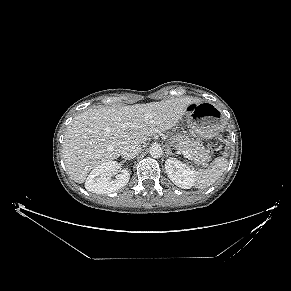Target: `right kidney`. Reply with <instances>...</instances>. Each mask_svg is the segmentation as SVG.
<instances>
[{"label":"right kidney","instance_id":"ca27d5eb","mask_svg":"<svg viewBox=\"0 0 291 291\" xmlns=\"http://www.w3.org/2000/svg\"><path fill=\"white\" fill-rule=\"evenodd\" d=\"M119 169L120 166L116 161L98 165L88 175L85 188L96 194L112 193L123 188L130 179V172L125 169L116 176L115 180H112V175H115Z\"/></svg>","mask_w":291,"mask_h":291}]
</instances>
